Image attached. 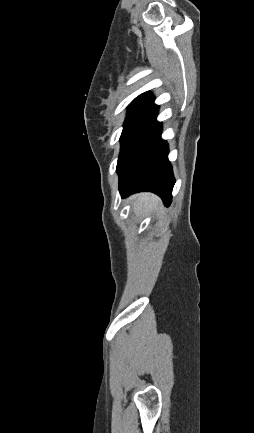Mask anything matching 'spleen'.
Here are the masks:
<instances>
[{
    "instance_id": "obj_1",
    "label": "spleen",
    "mask_w": 254,
    "mask_h": 433,
    "mask_svg": "<svg viewBox=\"0 0 254 433\" xmlns=\"http://www.w3.org/2000/svg\"><path fill=\"white\" fill-rule=\"evenodd\" d=\"M161 208L160 199L148 193H142L135 197L133 201V210L137 217L144 219Z\"/></svg>"
}]
</instances>
